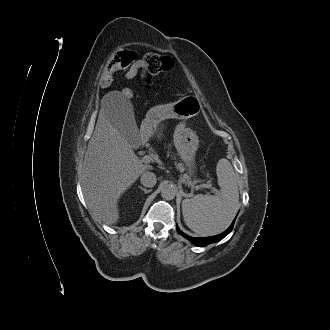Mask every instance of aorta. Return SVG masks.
Here are the masks:
<instances>
[{
    "mask_svg": "<svg viewBox=\"0 0 330 330\" xmlns=\"http://www.w3.org/2000/svg\"><path fill=\"white\" fill-rule=\"evenodd\" d=\"M177 189L174 185L172 184H166L162 187L161 189V196L165 200H172L176 196Z\"/></svg>",
    "mask_w": 330,
    "mask_h": 330,
    "instance_id": "aorta-1",
    "label": "aorta"
}]
</instances>
